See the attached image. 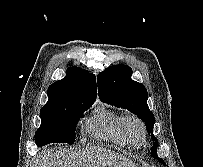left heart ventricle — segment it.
<instances>
[{"label": "left heart ventricle", "mask_w": 203, "mask_h": 167, "mask_svg": "<svg viewBox=\"0 0 203 167\" xmlns=\"http://www.w3.org/2000/svg\"><path fill=\"white\" fill-rule=\"evenodd\" d=\"M131 133H132L133 137H134L136 140L139 139V131H138L137 126H135V125L131 126Z\"/></svg>", "instance_id": "left-heart-ventricle-1"}]
</instances>
